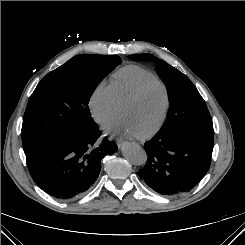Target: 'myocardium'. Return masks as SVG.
I'll return each mask as SVG.
<instances>
[{"label":"myocardium","mask_w":245,"mask_h":245,"mask_svg":"<svg viewBox=\"0 0 245 245\" xmlns=\"http://www.w3.org/2000/svg\"><path fill=\"white\" fill-rule=\"evenodd\" d=\"M150 84H157V85H159L162 88V90L164 92L165 103H164V108H163V112H162V115H161L160 119L148 131H146V132H144L142 134H139L138 137L141 138V139L150 137L151 135L155 134L162 127V125L164 124V122H165V120L167 118V115H168V112H169V109H170V102H171L170 92H169V89H168L167 85L161 79H159L157 77L147 79V80L143 81L142 83H140L132 92H130L120 102V106H119V108L121 110V108L125 104L137 99L141 95V93L145 90V88L147 86H149Z\"/></svg>","instance_id":"1"}]
</instances>
